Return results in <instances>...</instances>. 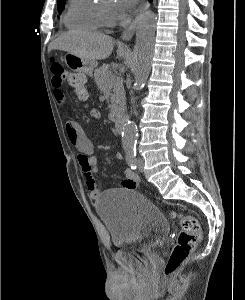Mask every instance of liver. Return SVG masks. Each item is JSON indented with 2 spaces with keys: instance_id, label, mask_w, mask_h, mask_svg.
<instances>
[{
  "instance_id": "6515ba94",
  "label": "liver",
  "mask_w": 245,
  "mask_h": 300,
  "mask_svg": "<svg viewBox=\"0 0 245 300\" xmlns=\"http://www.w3.org/2000/svg\"><path fill=\"white\" fill-rule=\"evenodd\" d=\"M113 44L112 37L101 33L67 32L51 42L48 51L62 50L82 59L97 61L110 56Z\"/></svg>"
}]
</instances>
